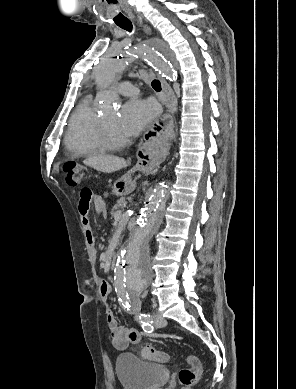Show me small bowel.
Wrapping results in <instances>:
<instances>
[{"instance_id":"obj_1","label":"small bowel","mask_w":296,"mask_h":389,"mask_svg":"<svg viewBox=\"0 0 296 389\" xmlns=\"http://www.w3.org/2000/svg\"><path fill=\"white\" fill-rule=\"evenodd\" d=\"M93 206L100 215L106 214V203L100 196H95L89 189H83L80 194L78 211L81 224L84 228L86 238L90 245H94L89 218L90 207ZM99 293L104 301H107L111 294V286L108 282L102 281L99 285ZM106 321L113 346L118 350H125L130 344H137L141 340V334L136 328H128L118 324L113 312L106 311Z\"/></svg>"}]
</instances>
